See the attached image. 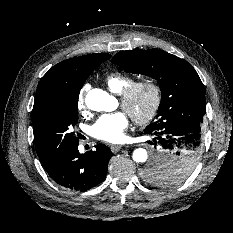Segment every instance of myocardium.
<instances>
[{
  "instance_id": "1",
  "label": "myocardium",
  "mask_w": 233,
  "mask_h": 233,
  "mask_svg": "<svg viewBox=\"0 0 233 233\" xmlns=\"http://www.w3.org/2000/svg\"><path fill=\"white\" fill-rule=\"evenodd\" d=\"M146 90L149 93V106L144 114L131 112V106L138 92ZM121 106L127 111L135 124L145 126L157 116L162 104V90L159 83L152 77H144L133 81L120 93Z\"/></svg>"
}]
</instances>
